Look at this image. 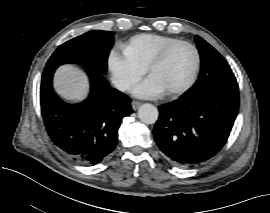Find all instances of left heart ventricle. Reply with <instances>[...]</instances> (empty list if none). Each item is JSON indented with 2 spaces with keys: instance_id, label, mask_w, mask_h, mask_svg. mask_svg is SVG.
I'll return each instance as SVG.
<instances>
[{
  "instance_id": "left-heart-ventricle-1",
  "label": "left heart ventricle",
  "mask_w": 270,
  "mask_h": 213,
  "mask_svg": "<svg viewBox=\"0 0 270 213\" xmlns=\"http://www.w3.org/2000/svg\"><path fill=\"white\" fill-rule=\"evenodd\" d=\"M195 64L196 56L193 49L186 45L178 46L154 68L151 76L164 91L175 90L190 79Z\"/></svg>"
}]
</instances>
